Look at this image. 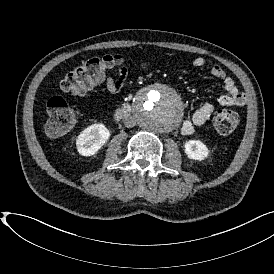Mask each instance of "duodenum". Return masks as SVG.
<instances>
[{
    "label": "duodenum",
    "mask_w": 274,
    "mask_h": 274,
    "mask_svg": "<svg viewBox=\"0 0 274 274\" xmlns=\"http://www.w3.org/2000/svg\"><path fill=\"white\" fill-rule=\"evenodd\" d=\"M131 111L129 103L122 104L116 111V117L118 119L127 116Z\"/></svg>",
    "instance_id": "410a0bca"
}]
</instances>
